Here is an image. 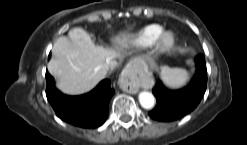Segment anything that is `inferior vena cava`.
Wrapping results in <instances>:
<instances>
[{
  "mask_svg": "<svg viewBox=\"0 0 247 145\" xmlns=\"http://www.w3.org/2000/svg\"><path fill=\"white\" fill-rule=\"evenodd\" d=\"M108 70H109V63H106V64L103 66V68H102L103 74L106 75V73H107Z\"/></svg>",
  "mask_w": 247,
  "mask_h": 145,
  "instance_id": "602c4592",
  "label": "inferior vena cava"
}]
</instances>
